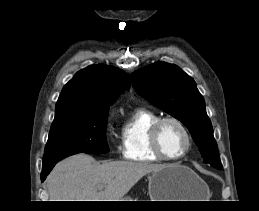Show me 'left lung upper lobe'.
<instances>
[{"label":"left lung upper lobe","instance_id":"left-lung-upper-lobe-1","mask_svg":"<svg viewBox=\"0 0 259 211\" xmlns=\"http://www.w3.org/2000/svg\"><path fill=\"white\" fill-rule=\"evenodd\" d=\"M131 80L141 96L188 127L206 163L222 168L204 98L190 76L176 65L156 62L133 73Z\"/></svg>","mask_w":259,"mask_h":211}]
</instances>
